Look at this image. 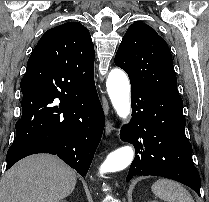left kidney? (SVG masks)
<instances>
[{
	"label": "left kidney",
	"mask_w": 209,
	"mask_h": 202,
	"mask_svg": "<svg viewBox=\"0 0 209 202\" xmlns=\"http://www.w3.org/2000/svg\"><path fill=\"white\" fill-rule=\"evenodd\" d=\"M150 202H159V201H150Z\"/></svg>",
	"instance_id": "1"
}]
</instances>
